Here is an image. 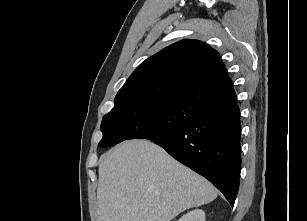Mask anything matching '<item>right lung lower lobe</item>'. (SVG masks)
<instances>
[{
	"instance_id": "98d812e1",
	"label": "right lung lower lobe",
	"mask_w": 307,
	"mask_h": 221,
	"mask_svg": "<svg viewBox=\"0 0 307 221\" xmlns=\"http://www.w3.org/2000/svg\"><path fill=\"white\" fill-rule=\"evenodd\" d=\"M236 97L207 106L186 125L148 140L208 179L234 205L240 177L241 124Z\"/></svg>"
}]
</instances>
